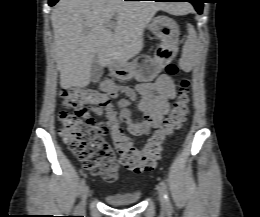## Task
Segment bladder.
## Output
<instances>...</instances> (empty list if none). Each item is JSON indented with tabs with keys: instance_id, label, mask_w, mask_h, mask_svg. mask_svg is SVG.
<instances>
[{
	"instance_id": "obj_1",
	"label": "bladder",
	"mask_w": 260,
	"mask_h": 217,
	"mask_svg": "<svg viewBox=\"0 0 260 217\" xmlns=\"http://www.w3.org/2000/svg\"><path fill=\"white\" fill-rule=\"evenodd\" d=\"M140 198H141V193H128V194L105 196V200L109 204L117 207L135 204L140 200Z\"/></svg>"
}]
</instances>
